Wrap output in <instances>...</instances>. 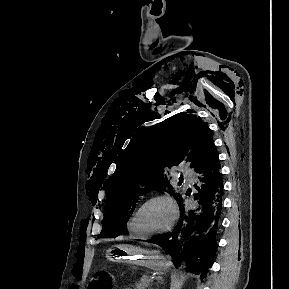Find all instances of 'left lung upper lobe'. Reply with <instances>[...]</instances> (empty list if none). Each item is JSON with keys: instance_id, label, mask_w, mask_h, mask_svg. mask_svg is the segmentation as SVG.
Returning a JSON list of instances; mask_svg holds the SVG:
<instances>
[{"instance_id": "left-lung-upper-lobe-1", "label": "left lung upper lobe", "mask_w": 289, "mask_h": 289, "mask_svg": "<svg viewBox=\"0 0 289 289\" xmlns=\"http://www.w3.org/2000/svg\"><path fill=\"white\" fill-rule=\"evenodd\" d=\"M215 148L208 125L191 114H177L135 135L107 183L99 237L119 236L138 199L153 189L167 191L177 200L180 195L170 184L168 169L190 161L197 171Z\"/></svg>"}]
</instances>
